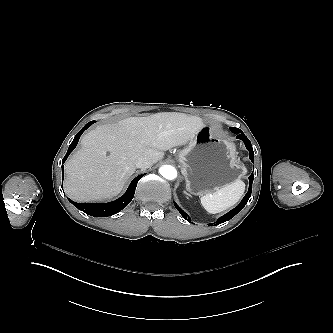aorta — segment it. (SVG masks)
<instances>
[{"instance_id": "aorta-1", "label": "aorta", "mask_w": 333, "mask_h": 333, "mask_svg": "<svg viewBox=\"0 0 333 333\" xmlns=\"http://www.w3.org/2000/svg\"><path fill=\"white\" fill-rule=\"evenodd\" d=\"M160 174L167 180L172 181L177 178V170L170 166L164 165L159 169Z\"/></svg>"}]
</instances>
